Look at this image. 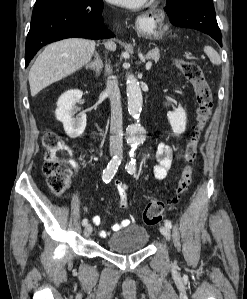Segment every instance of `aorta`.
<instances>
[{"mask_svg": "<svg viewBox=\"0 0 247 299\" xmlns=\"http://www.w3.org/2000/svg\"><path fill=\"white\" fill-rule=\"evenodd\" d=\"M126 92L128 99V112L135 122L127 127V143L136 149L145 140V129L140 123V114L143 106L142 91L139 82L132 74L127 75Z\"/></svg>", "mask_w": 247, "mask_h": 299, "instance_id": "aorta-1", "label": "aorta"}]
</instances>
